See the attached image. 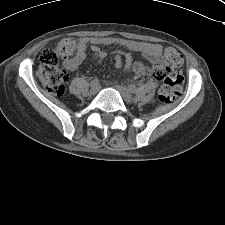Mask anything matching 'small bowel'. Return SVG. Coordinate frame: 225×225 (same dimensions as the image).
<instances>
[{
  "instance_id": "small-bowel-1",
  "label": "small bowel",
  "mask_w": 225,
  "mask_h": 225,
  "mask_svg": "<svg viewBox=\"0 0 225 225\" xmlns=\"http://www.w3.org/2000/svg\"><path fill=\"white\" fill-rule=\"evenodd\" d=\"M115 43L110 38H87L82 37L77 41V53L74 61L67 63L65 66L69 71H74L86 58L88 44H91L93 56L99 62L107 57V52L99 47L101 44ZM132 49L139 52L150 63L156 64L159 61L161 47L158 44L138 43L132 46ZM114 68L116 70L124 69V71L132 70L136 76H140L145 69L142 62H134L132 56L125 52H116L114 55Z\"/></svg>"
}]
</instances>
